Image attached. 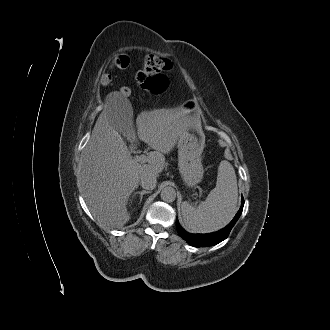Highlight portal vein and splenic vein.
I'll return each mask as SVG.
<instances>
[{
  "mask_svg": "<svg viewBox=\"0 0 330 330\" xmlns=\"http://www.w3.org/2000/svg\"><path fill=\"white\" fill-rule=\"evenodd\" d=\"M136 160L140 163H145V162H147V157L142 154V155L136 156Z\"/></svg>",
  "mask_w": 330,
  "mask_h": 330,
  "instance_id": "1",
  "label": "portal vein and splenic vein"
}]
</instances>
